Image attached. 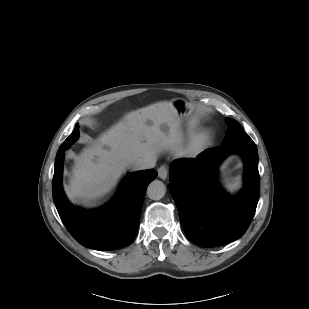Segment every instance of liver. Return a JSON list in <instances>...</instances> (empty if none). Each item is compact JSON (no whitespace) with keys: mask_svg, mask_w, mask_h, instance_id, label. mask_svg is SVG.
<instances>
[{"mask_svg":"<svg viewBox=\"0 0 309 309\" xmlns=\"http://www.w3.org/2000/svg\"><path fill=\"white\" fill-rule=\"evenodd\" d=\"M180 120L171 102L132 111L75 156L65 187L71 201L91 202L108 193L126 167L157 156L179 141Z\"/></svg>","mask_w":309,"mask_h":309,"instance_id":"obj_1","label":"liver"}]
</instances>
